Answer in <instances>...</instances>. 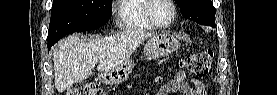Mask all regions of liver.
<instances>
[{
    "label": "liver",
    "instance_id": "6515ba94",
    "mask_svg": "<svg viewBox=\"0 0 277 95\" xmlns=\"http://www.w3.org/2000/svg\"><path fill=\"white\" fill-rule=\"evenodd\" d=\"M152 36V33L141 30H124L87 41L79 34L69 36L53 49L55 88L63 92L73 83L89 78L97 63V70L101 73L114 70Z\"/></svg>",
    "mask_w": 277,
    "mask_h": 95
}]
</instances>
